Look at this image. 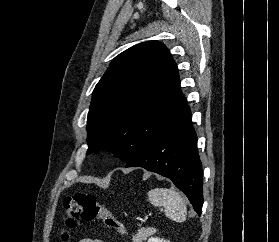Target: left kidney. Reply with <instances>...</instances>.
Instances as JSON below:
<instances>
[{
  "mask_svg": "<svg viewBox=\"0 0 279 242\" xmlns=\"http://www.w3.org/2000/svg\"><path fill=\"white\" fill-rule=\"evenodd\" d=\"M147 242H170V241L163 240V239H160V238L151 237V238L148 239Z\"/></svg>",
  "mask_w": 279,
  "mask_h": 242,
  "instance_id": "obj_1",
  "label": "left kidney"
}]
</instances>
